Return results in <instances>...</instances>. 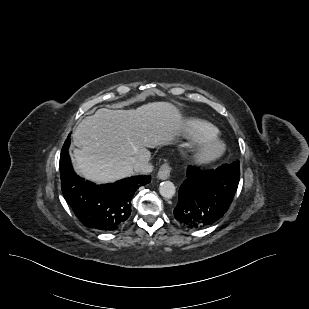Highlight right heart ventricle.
I'll return each instance as SVG.
<instances>
[{
	"label": "right heart ventricle",
	"mask_w": 309,
	"mask_h": 309,
	"mask_svg": "<svg viewBox=\"0 0 309 309\" xmlns=\"http://www.w3.org/2000/svg\"><path fill=\"white\" fill-rule=\"evenodd\" d=\"M184 130L188 137L194 139L210 138L217 134V129L213 125L195 118L186 121Z\"/></svg>",
	"instance_id": "e07e8e85"
}]
</instances>
